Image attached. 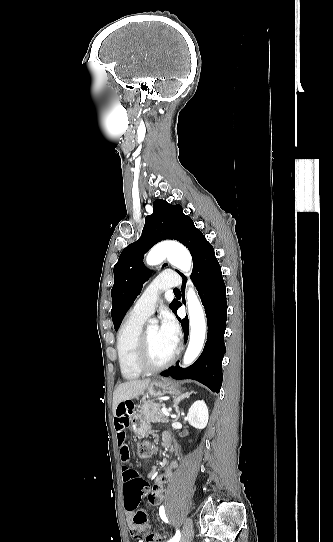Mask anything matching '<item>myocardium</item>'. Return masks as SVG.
<instances>
[{"mask_svg":"<svg viewBox=\"0 0 333 542\" xmlns=\"http://www.w3.org/2000/svg\"><path fill=\"white\" fill-rule=\"evenodd\" d=\"M179 353L180 345H177L171 357L166 361L159 364L152 363L149 359L147 330H143L140 333L135 346L134 362L136 367L142 373H155L172 365L176 361Z\"/></svg>","mask_w":333,"mask_h":542,"instance_id":"obj_1","label":"myocardium"}]
</instances>
